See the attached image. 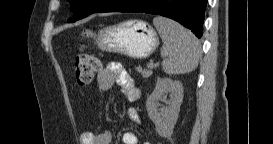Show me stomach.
Segmentation results:
<instances>
[{
  "mask_svg": "<svg viewBox=\"0 0 273 144\" xmlns=\"http://www.w3.org/2000/svg\"><path fill=\"white\" fill-rule=\"evenodd\" d=\"M96 43L103 51L143 59L156 50L159 39L147 23L140 20H128L100 30Z\"/></svg>",
  "mask_w": 273,
  "mask_h": 144,
  "instance_id": "1",
  "label": "stomach"
}]
</instances>
